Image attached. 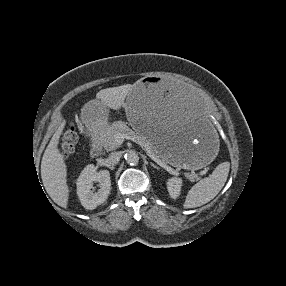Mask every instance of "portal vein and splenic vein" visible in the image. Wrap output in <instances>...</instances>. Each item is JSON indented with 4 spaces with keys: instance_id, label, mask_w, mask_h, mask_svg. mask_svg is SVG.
I'll use <instances>...</instances> for the list:
<instances>
[{
    "instance_id": "1",
    "label": "portal vein and splenic vein",
    "mask_w": 286,
    "mask_h": 286,
    "mask_svg": "<svg viewBox=\"0 0 286 286\" xmlns=\"http://www.w3.org/2000/svg\"><path fill=\"white\" fill-rule=\"evenodd\" d=\"M124 139L127 140H132L135 143L143 146L140 142H138L137 140H135L133 137L127 135V134H118L116 136V142L119 144H122ZM147 155L153 160L155 161L158 165H160L162 168L166 169L167 171H169L170 173H176V171H174L171 167H169L168 165H166L163 161H161L157 156H155L153 153L150 152V150L145 149ZM202 174H206V171H203Z\"/></svg>"
}]
</instances>
